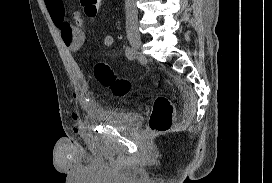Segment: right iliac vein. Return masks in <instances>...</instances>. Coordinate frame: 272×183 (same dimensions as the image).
Returning <instances> with one entry per match:
<instances>
[{"label":"right iliac vein","instance_id":"63e3f726","mask_svg":"<svg viewBox=\"0 0 272 183\" xmlns=\"http://www.w3.org/2000/svg\"><path fill=\"white\" fill-rule=\"evenodd\" d=\"M128 40L135 49H140L142 46V40L140 34L137 31L131 30L128 32Z\"/></svg>","mask_w":272,"mask_h":183}]
</instances>
